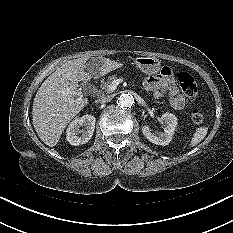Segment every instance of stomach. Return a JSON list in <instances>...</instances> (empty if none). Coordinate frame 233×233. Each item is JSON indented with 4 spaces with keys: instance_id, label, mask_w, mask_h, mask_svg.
Returning a JSON list of instances; mask_svg holds the SVG:
<instances>
[{
    "instance_id": "obj_1",
    "label": "stomach",
    "mask_w": 233,
    "mask_h": 233,
    "mask_svg": "<svg viewBox=\"0 0 233 233\" xmlns=\"http://www.w3.org/2000/svg\"><path fill=\"white\" fill-rule=\"evenodd\" d=\"M136 66L145 74H155L160 69V61L156 57H138L135 59Z\"/></svg>"
}]
</instances>
